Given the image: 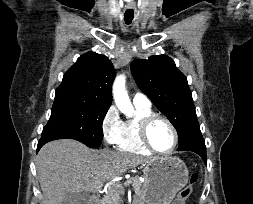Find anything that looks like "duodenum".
I'll return each mask as SVG.
<instances>
[{"label": "duodenum", "instance_id": "410a0bca", "mask_svg": "<svg viewBox=\"0 0 253 204\" xmlns=\"http://www.w3.org/2000/svg\"><path fill=\"white\" fill-rule=\"evenodd\" d=\"M87 204H98V198H97V196L93 195V196L89 199V201H88Z\"/></svg>", "mask_w": 253, "mask_h": 204}]
</instances>
